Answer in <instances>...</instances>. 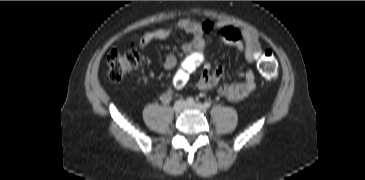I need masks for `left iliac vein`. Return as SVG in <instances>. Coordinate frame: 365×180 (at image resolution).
Here are the masks:
<instances>
[{
    "mask_svg": "<svg viewBox=\"0 0 365 180\" xmlns=\"http://www.w3.org/2000/svg\"><path fill=\"white\" fill-rule=\"evenodd\" d=\"M186 108L187 109H196V110H198L202 113H205L206 110H207L206 107L201 103H195L193 105H187Z\"/></svg>",
    "mask_w": 365,
    "mask_h": 180,
    "instance_id": "left-iliac-vein-1",
    "label": "left iliac vein"
}]
</instances>
